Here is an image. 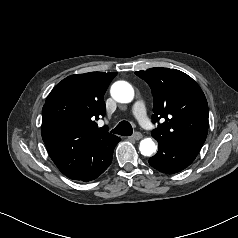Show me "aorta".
<instances>
[{
    "label": "aorta",
    "mask_w": 238,
    "mask_h": 238,
    "mask_svg": "<svg viewBox=\"0 0 238 238\" xmlns=\"http://www.w3.org/2000/svg\"><path fill=\"white\" fill-rule=\"evenodd\" d=\"M111 96L114 100L120 103H130L134 98V89L126 81H117L111 86ZM139 150L144 156H152L157 146L151 138H146L140 141Z\"/></svg>",
    "instance_id": "aorta-1"
}]
</instances>
